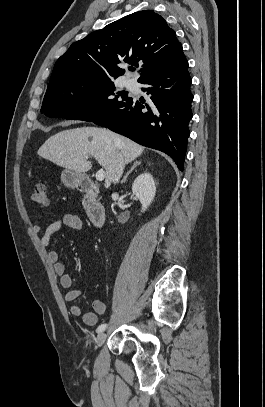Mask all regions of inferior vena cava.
<instances>
[{
  "instance_id": "inferior-vena-cava-1",
  "label": "inferior vena cava",
  "mask_w": 265,
  "mask_h": 407,
  "mask_svg": "<svg viewBox=\"0 0 265 407\" xmlns=\"http://www.w3.org/2000/svg\"><path fill=\"white\" fill-rule=\"evenodd\" d=\"M124 167H125V163H124L122 157L120 155H118L117 160H116L115 170L113 173V179H112L113 183L119 182V180L123 174Z\"/></svg>"
}]
</instances>
